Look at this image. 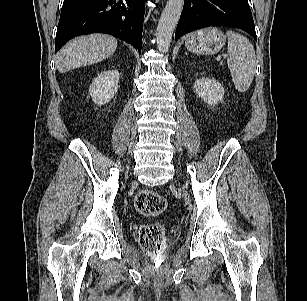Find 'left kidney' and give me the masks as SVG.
<instances>
[{
	"mask_svg": "<svg viewBox=\"0 0 307 301\" xmlns=\"http://www.w3.org/2000/svg\"><path fill=\"white\" fill-rule=\"evenodd\" d=\"M194 91L198 97L212 105L221 101L224 97V87L215 79L202 77L194 83Z\"/></svg>",
	"mask_w": 307,
	"mask_h": 301,
	"instance_id": "left-kidney-1",
	"label": "left kidney"
}]
</instances>
